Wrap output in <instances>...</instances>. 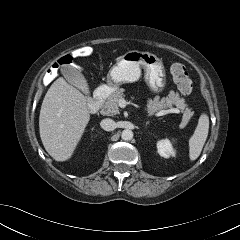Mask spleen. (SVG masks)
<instances>
[{"label": "spleen", "mask_w": 240, "mask_h": 240, "mask_svg": "<svg viewBox=\"0 0 240 240\" xmlns=\"http://www.w3.org/2000/svg\"><path fill=\"white\" fill-rule=\"evenodd\" d=\"M209 131V117L203 113L200 115L196 129L189 140V158L191 161L196 160L206 142Z\"/></svg>", "instance_id": "obj_1"}]
</instances>
